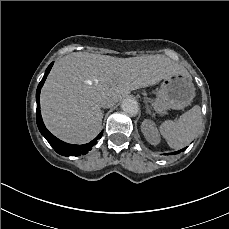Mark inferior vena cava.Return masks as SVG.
Listing matches in <instances>:
<instances>
[{
  "label": "inferior vena cava",
  "instance_id": "obj_1",
  "mask_svg": "<svg viewBox=\"0 0 229 229\" xmlns=\"http://www.w3.org/2000/svg\"><path fill=\"white\" fill-rule=\"evenodd\" d=\"M101 106L104 108H107V107H111V104L108 103L107 101H104V102H102Z\"/></svg>",
  "mask_w": 229,
  "mask_h": 229
}]
</instances>
